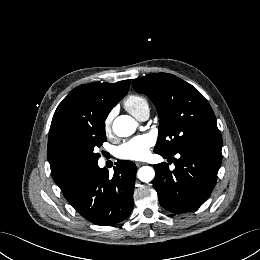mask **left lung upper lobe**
I'll list each match as a JSON object with an SVG mask.
<instances>
[{"label":"left lung upper lobe","mask_w":260,"mask_h":260,"mask_svg":"<svg viewBox=\"0 0 260 260\" xmlns=\"http://www.w3.org/2000/svg\"><path fill=\"white\" fill-rule=\"evenodd\" d=\"M136 92L156 106L160 122L155 153L175 155L194 146L222 147L211 106L191 84L167 73H153L132 82Z\"/></svg>","instance_id":"obj_1"}]
</instances>
